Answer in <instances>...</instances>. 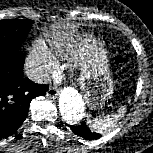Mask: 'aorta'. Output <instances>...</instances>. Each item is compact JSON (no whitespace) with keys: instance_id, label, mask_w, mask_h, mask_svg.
<instances>
[{"instance_id":"762f6f07","label":"aorta","mask_w":153,"mask_h":153,"mask_svg":"<svg viewBox=\"0 0 153 153\" xmlns=\"http://www.w3.org/2000/svg\"><path fill=\"white\" fill-rule=\"evenodd\" d=\"M59 109L67 123L77 124L84 116V101L77 90L67 87L60 93Z\"/></svg>"}]
</instances>
